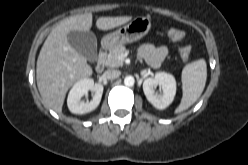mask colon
Segmentation results:
<instances>
[{
    "label": "colon",
    "instance_id": "5ec220e1",
    "mask_svg": "<svg viewBox=\"0 0 248 165\" xmlns=\"http://www.w3.org/2000/svg\"><path fill=\"white\" fill-rule=\"evenodd\" d=\"M168 37L174 42H182L185 38V33L179 29H170L168 31ZM180 56L184 61H187L191 55L192 49L189 44H184L180 47Z\"/></svg>",
    "mask_w": 248,
    "mask_h": 165
}]
</instances>
